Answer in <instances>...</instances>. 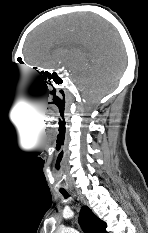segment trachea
Masks as SVG:
<instances>
[{
    "mask_svg": "<svg viewBox=\"0 0 148 233\" xmlns=\"http://www.w3.org/2000/svg\"><path fill=\"white\" fill-rule=\"evenodd\" d=\"M61 193L64 195L65 198L68 197V193L66 191H61Z\"/></svg>",
    "mask_w": 148,
    "mask_h": 233,
    "instance_id": "trachea-1",
    "label": "trachea"
}]
</instances>
